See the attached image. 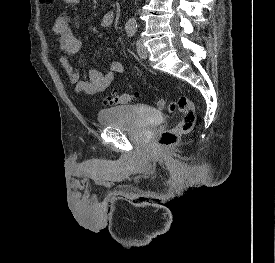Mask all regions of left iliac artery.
I'll list each match as a JSON object with an SVG mask.
<instances>
[{
    "label": "left iliac artery",
    "instance_id": "left-iliac-artery-1",
    "mask_svg": "<svg viewBox=\"0 0 275 263\" xmlns=\"http://www.w3.org/2000/svg\"><path fill=\"white\" fill-rule=\"evenodd\" d=\"M136 30H137V26H127L126 27V32H127L128 36H130V37L135 34Z\"/></svg>",
    "mask_w": 275,
    "mask_h": 263
}]
</instances>
